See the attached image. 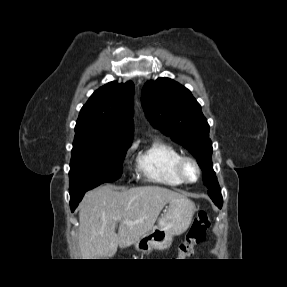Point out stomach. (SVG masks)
<instances>
[{
  "mask_svg": "<svg viewBox=\"0 0 287 287\" xmlns=\"http://www.w3.org/2000/svg\"><path fill=\"white\" fill-rule=\"evenodd\" d=\"M195 211L194 203L186 197L171 201L158 224L134 243L135 249L147 253L153 249L168 248L174 236L181 235L187 230Z\"/></svg>",
  "mask_w": 287,
  "mask_h": 287,
  "instance_id": "obj_1",
  "label": "stomach"
}]
</instances>
